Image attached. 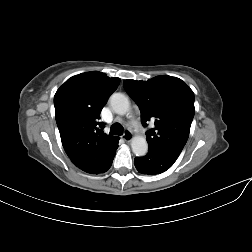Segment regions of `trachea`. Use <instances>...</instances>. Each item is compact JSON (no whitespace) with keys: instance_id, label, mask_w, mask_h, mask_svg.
Masks as SVG:
<instances>
[{"instance_id":"1","label":"trachea","mask_w":252,"mask_h":252,"mask_svg":"<svg viewBox=\"0 0 252 252\" xmlns=\"http://www.w3.org/2000/svg\"><path fill=\"white\" fill-rule=\"evenodd\" d=\"M110 134L113 135H123V127L119 123H114L110 128Z\"/></svg>"}]
</instances>
